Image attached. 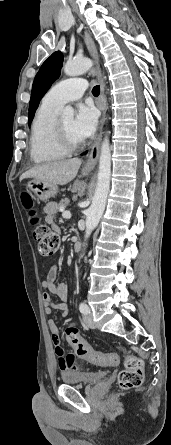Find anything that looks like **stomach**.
Returning a JSON list of instances; mask_svg holds the SVG:
<instances>
[{
	"label": "stomach",
	"instance_id": "0dacf381",
	"mask_svg": "<svg viewBox=\"0 0 171 445\" xmlns=\"http://www.w3.org/2000/svg\"><path fill=\"white\" fill-rule=\"evenodd\" d=\"M26 190L39 200H48L58 193V186L39 179H33L25 184Z\"/></svg>",
	"mask_w": 171,
	"mask_h": 445
}]
</instances>
